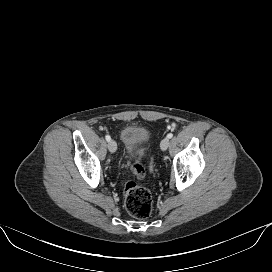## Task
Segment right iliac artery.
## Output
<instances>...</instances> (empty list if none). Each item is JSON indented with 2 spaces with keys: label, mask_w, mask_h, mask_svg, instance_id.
<instances>
[{
  "label": "right iliac artery",
  "mask_w": 272,
  "mask_h": 272,
  "mask_svg": "<svg viewBox=\"0 0 272 272\" xmlns=\"http://www.w3.org/2000/svg\"><path fill=\"white\" fill-rule=\"evenodd\" d=\"M105 138L108 142L111 140V137L109 135H106Z\"/></svg>",
  "instance_id": "right-iliac-artery-1"
}]
</instances>
